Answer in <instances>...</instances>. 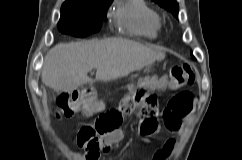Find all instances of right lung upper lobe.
Segmentation results:
<instances>
[{
    "label": "right lung upper lobe",
    "mask_w": 242,
    "mask_h": 160,
    "mask_svg": "<svg viewBox=\"0 0 242 160\" xmlns=\"http://www.w3.org/2000/svg\"><path fill=\"white\" fill-rule=\"evenodd\" d=\"M94 0H66L64 3H86Z\"/></svg>",
    "instance_id": "1"
}]
</instances>
